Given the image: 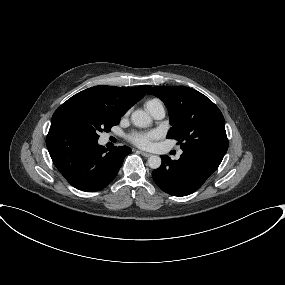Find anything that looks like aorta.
<instances>
[{"instance_id":"obj_1","label":"aorta","mask_w":285,"mask_h":285,"mask_svg":"<svg viewBox=\"0 0 285 285\" xmlns=\"http://www.w3.org/2000/svg\"><path fill=\"white\" fill-rule=\"evenodd\" d=\"M132 123L136 127L145 128L151 125L152 119L144 110H135L131 115ZM148 166L157 169L161 166V158L158 155H151L148 158Z\"/></svg>"}]
</instances>
